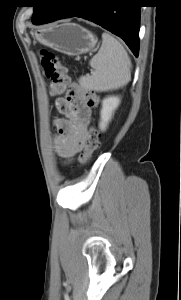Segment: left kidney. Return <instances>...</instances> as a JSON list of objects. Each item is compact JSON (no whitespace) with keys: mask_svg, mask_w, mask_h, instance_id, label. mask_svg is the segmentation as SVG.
I'll return each instance as SVG.
<instances>
[{"mask_svg":"<svg viewBox=\"0 0 181 300\" xmlns=\"http://www.w3.org/2000/svg\"><path fill=\"white\" fill-rule=\"evenodd\" d=\"M121 99L118 96H108L102 101V108L100 111L99 129L105 131L111 121L114 111L118 108Z\"/></svg>","mask_w":181,"mask_h":300,"instance_id":"1","label":"left kidney"}]
</instances>
